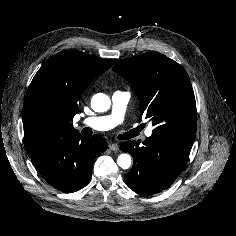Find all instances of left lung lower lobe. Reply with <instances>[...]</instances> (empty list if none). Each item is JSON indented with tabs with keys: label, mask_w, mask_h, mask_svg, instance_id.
I'll list each match as a JSON object with an SVG mask.
<instances>
[{
	"label": "left lung lower lobe",
	"mask_w": 236,
	"mask_h": 236,
	"mask_svg": "<svg viewBox=\"0 0 236 236\" xmlns=\"http://www.w3.org/2000/svg\"><path fill=\"white\" fill-rule=\"evenodd\" d=\"M192 140L180 137L152 135L143 145L126 141L120 146L134 160L125 176L127 186L142 195H153L167 189L183 170Z\"/></svg>",
	"instance_id": "1"
}]
</instances>
